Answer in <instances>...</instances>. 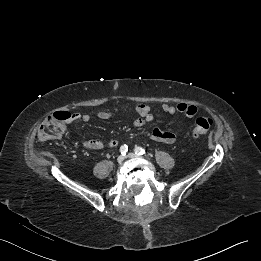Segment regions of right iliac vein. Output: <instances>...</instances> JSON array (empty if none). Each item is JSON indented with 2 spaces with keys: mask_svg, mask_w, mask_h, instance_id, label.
Returning <instances> with one entry per match:
<instances>
[{
  "mask_svg": "<svg viewBox=\"0 0 261 261\" xmlns=\"http://www.w3.org/2000/svg\"><path fill=\"white\" fill-rule=\"evenodd\" d=\"M124 159H125V157L123 155H119L117 157V162L121 164L124 161Z\"/></svg>",
  "mask_w": 261,
  "mask_h": 261,
  "instance_id": "1",
  "label": "right iliac vein"
}]
</instances>
